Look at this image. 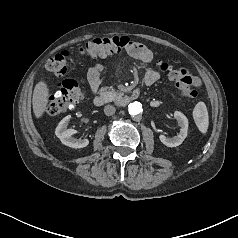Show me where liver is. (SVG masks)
Instances as JSON below:
<instances>
[{
    "mask_svg": "<svg viewBox=\"0 0 238 238\" xmlns=\"http://www.w3.org/2000/svg\"><path fill=\"white\" fill-rule=\"evenodd\" d=\"M48 97L49 88L47 83L44 81L38 82L35 85L32 98L33 112L37 119L41 118L45 112L47 103L49 101Z\"/></svg>",
    "mask_w": 238,
    "mask_h": 238,
    "instance_id": "liver-1",
    "label": "liver"
}]
</instances>
